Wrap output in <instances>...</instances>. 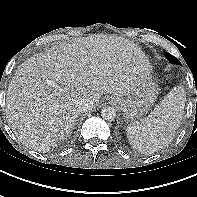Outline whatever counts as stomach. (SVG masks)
Wrapping results in <instances>:
<instances>
[{"instance_id": "stomach-1", "label": "stomach", "mask_w": 197, "mask_h": 197, "mask_svg": "<svg viewBox=\"0 0 197 197\" xmlns=\"http://www.w3.org/2000/svg\"><path fill=\"white\" fill-rule=\"evenodd\" d=\"M158 86L150 73L125 97L112 96L111 101L120 109L124 120L135 122L143 117L157 100Z\"/></svg>"}]
</instances>
